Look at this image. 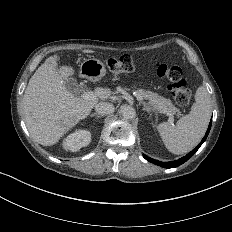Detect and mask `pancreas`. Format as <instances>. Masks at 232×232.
Returning <instances> with one entry per match:
<instances>
[{
  "instance_id": "pancreas-1",
  "label": "pancreas",
  "mask_w": 232,
  "mask_h": 232,
  "mask_svg": "<svg viewBox=\"0 0 232 232\" xmlns=\"http://www.w3.org/2000/svg\"><path fill=\"white\" fill-rule=\"evenodd\" d=\"M135 93L136 95L142 96L144 100L150 102L153 108L159 109L160 112L173 114L178 111V109L171 103L170 99L161 97L157 93H153L144 89H138L135 91Z\"/></svg>"
}]
</instances>
